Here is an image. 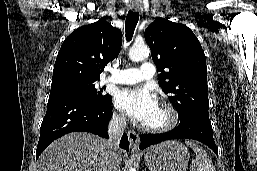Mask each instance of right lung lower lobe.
<instances>
[{"instance_id": "1", "label": "right lung lower lobe", "mask_w": 257, "mask_h": 171, "mask_svg": "<svg viewBox=\"0 0 257 171\" xmlns=\"http://www.w3.org/2000/svg\"><path fill=\"white\" fill-rule=\"evenodd\" d=\"M111 101L112 97L106 102H96L77 95L49 98L40 128L36 160L52 141L70 132L85 131L108 138L106 128L112 117ZM120 147L129 150L126 134H123Z\"/></svg>"}]
</instances>
